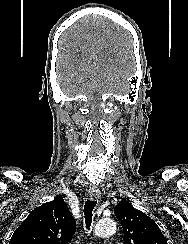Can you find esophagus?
<instances>
[{
	"mask_svg": "<svg viewBox=\"0 0 188 244\" xmlns=\"http://www.w3.org/2000/svg\"><path fill=\"white\" fill-rule=\"evenodd\" d=\"M89 197L91 200L98 199L100 197V191L99 190H91L89 192Z\"/></svg>",
	"mask_w": 188,
	"mask_h": 244,
	"instance_id": "obj_1",
	"label": "esophagus"
}]
</instances>
